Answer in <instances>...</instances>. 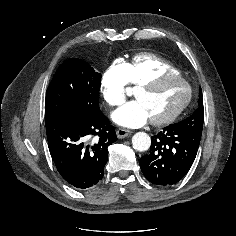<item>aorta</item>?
I'll return each mask as SVG.
<instances>
[{
	"instance_id": "762f6f07",
	"label": "aorta",
	"mask_w": 236,
	"mask_h": 236,
	"mask_svg": "<svg viewBox=\"0 0 236 236\" xmlns=\"http://www.w3.org/2000/svg\"><path fill=\"white\" fill-rule=\"evenodd\" d=\"M132 145L137 151H146L150 148L151 138L145 132H138L132 137Z\"/></svg>"
}]
</instances>
